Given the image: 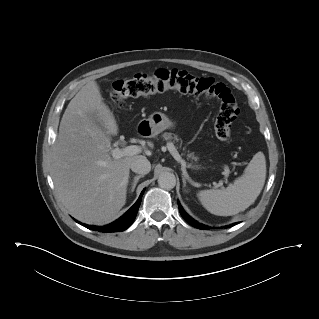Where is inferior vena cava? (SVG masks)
<instances>
[{"instance_id":"obj_1","label":"inferior vena cava","mask_w":319,"mask_h":319,"mask_svg":"<svg viewBox=\"0 0 319 319\" xmlns=\"http://www.w3.org/2000/svg\"><path fill=\"white\" fill-rule=\"evenodd\" d=\"M130 168L135 173L145 175L150 172L151 164L146 157H140L132 161Z\"/></svg>"}]
</instances>
